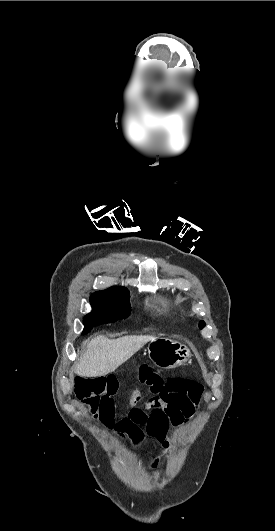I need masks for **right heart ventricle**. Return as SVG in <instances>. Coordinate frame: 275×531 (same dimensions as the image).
<instances>
[{
  "label": "right heart ventricle",
  "mask_w": 275,
  "mask_h": 531,
  "mask_svg": "<svg viewBox=\"0 0 275 531\" xmlns=\"http://www.w3.org/2000/svg\"><path fill=\"white\" fill-rule=\"evenodd\" d=\"M155 308L159 312L165 313L169 309V305L165 301H160L155 305Z\"/></svg>",
  "instance_id": "right-heart-ventricle-1"
}]
</instances>
